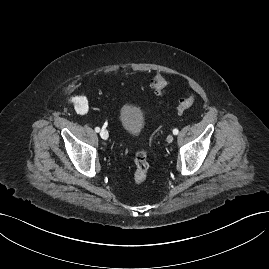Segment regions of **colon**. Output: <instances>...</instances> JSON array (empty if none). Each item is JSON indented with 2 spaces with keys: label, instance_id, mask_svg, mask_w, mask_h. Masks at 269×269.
<instances>
[{
  "label": "colon",
  "instance_id": "5ec220e1",
  "mask_svg": "<svg viewBox=\"0 0 269 269\" xmlns=\"http://www.w3.org/2000/svg\"><path fill=\"white\" fill-rule=\"evenodd\" d=\"M152 90L158 95H164L167 91V81L160 75H154L150 81ZM196 101L192 92H188L176 107L178 113H183L190 109ZM149 176L148 153L146 150H139L134 157L133 180L136 184L144 183Z\"/></svg>",
  "mask_w": 269,
  "mask_h": 269
}]
</instances>
